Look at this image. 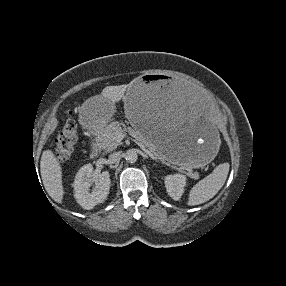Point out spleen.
I'll return each instance as SVG.
<instances>
[{
  "label": "spleen",
  "mask_w": 286,
  "mask_h": 286,
  "mask_svg": "<svg viewBox=\"0 0 286 286\" xmlns=\"http://www.w3.org/2000/svg\"><path fill=\"white\" fill-rule=\"evenodd\" d=\"M229 163L218 165L211 174L200 180L191 190L187 204L195 206L209 201L223 187L229 172Z\"/></svg>",
  "instance_id": "3e777b00"
}]
</instances>
